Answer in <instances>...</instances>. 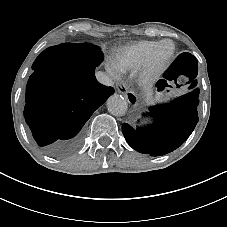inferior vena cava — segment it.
Wrapping results in <instances>:
<instances>
[{
    "label": "inferior vena cava",
    "instance_id": "1",
    "mask_svg": "<svg viewBox=\"0 0 227 227\" xmlns=\"http://www.w3.org/2000/svg\"><path fill=\"white\" fill-rule=\"evenodd\" d=\"M96 79L99 83L105 85V86H113L114 83L112 79L104 72H97L96 73Z\"/></svg>",
    "mask_w": 227,
    "mask_h": 227
}]
</instances>
